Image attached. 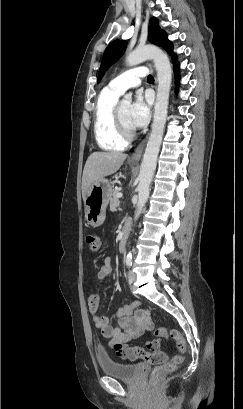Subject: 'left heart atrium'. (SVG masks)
I'll use <instances>...</instances> for the list:
<instances>
[{
    "label": "left heart atrium",
    "instance_id": "1",
    "mask_svg": "<svg viewBox=\"0 0 243 409\" xmlns=\"http://www.w3.org/2000/svg\"><path fill=\"white\" fill-rule=\"evenodd\" d=\"M151 102L143 94H138L135 101L130 106L129 122L132 128L144 127L150 119Z\"/></svg>",
    "mask_w": 243,
    "mask_h": 409
}]
</instances>
